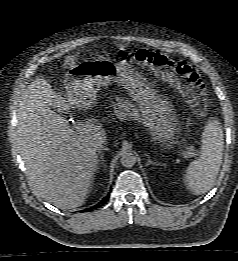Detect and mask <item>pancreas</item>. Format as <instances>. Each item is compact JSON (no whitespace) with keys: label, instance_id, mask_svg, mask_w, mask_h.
<instances>
[{"label":"pancreas","instance_id":"cf45deb5","mask_svg":"<svg viewBox=\"0 0 238 261\" xmlns=\"http://www.w3.org/2000/svg\"><path fill=\"white\" fill-rule=\"evenodd\" d=\"M111 107L114 109L115 116L120 121L131 120V119L136 120L138 122L143 121V117L140 114V109H138L131 103H126L118 99L117 103L113 102L111 104ZM194 151L195 149L193 146H189L187 148V152H194Z\"/></svg>","mask_w":238,"mask_h":261}]
</instances>
